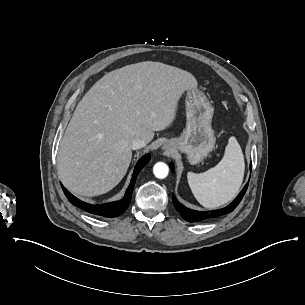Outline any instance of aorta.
I'll list each match as a JSON object with an SVG mask.
<instances>
[{
  "label": "aorta",
  "instance_id": "762f6f07",
  "mask_svg": "<svg viewBox=\"0 0 305 305\" xmlns=\"http://www.w3.org/2000/svg\"><path fill=\"white\" fill-rule=\"evenodd\" d=\"M153 173L155 177L164 179L169 173V168L164 162H157L153 167Z\"/></svg>",
  "mask_w": 305,
  "mask_h": 305
}]
</instances>
